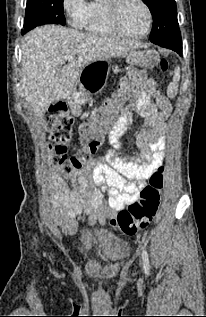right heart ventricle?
<instances>
[{"mask_svg":"<svg viewBox=\"0 0 206 317\" xmlns=\"http://www.w3.org/2000/svg\"><path fill=\"white\" fill-rule=\"evenodd\" d=\"M82 27L94 34L115 36L107 16L106 0H92L88 3Z\"/></svg>","mask_w":206,"mask_h":317,"instance_id":"right-heart-ventricle-1","label":"right heart ventricle"}]
</instances>
